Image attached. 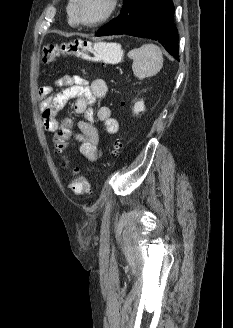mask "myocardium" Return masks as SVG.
I'll return each mask as SVG.
<instances>
[{
	"label": "myocardium",
	"mask_w": 233,
	"mask_h": 328,
	"mask_svg": "<svg viewBox=\"0 0 233 328\" xmlns=\"http://www.w3.org/2000/svg\"><path fill=\"white\" fill-rule=\"evenodd\" d=\"M73 1H74L73 9H74L76 22H77V24L86 26V27H96V26H99V25L105 23L106 21H108L116 12L118 3H119V0H108V8H107L105 14L96 21L87 22V21H84L80 15V11H79L80 0H73Z\"/></svg>",
	"instance_id": "myocardium-1"
}]
</instances>
